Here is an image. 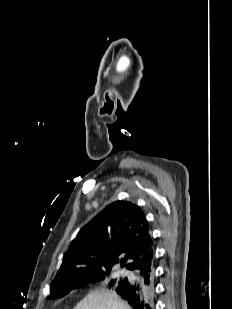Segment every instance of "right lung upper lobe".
I'll use <instances>...</instances> for the list:
<instances>
[{"instance_id":"obj_1","label":"right lung upper lobe","mask_w":232,"mask_h":309,"mask_svg":"<svg viewBox=\"0 0 232 309\" xmlns=\"http://www.w3.org/2000/svg\"><path fill=\"white\" fill-rule=\"evenodd\" d=\"M153 250L149 224L140 208L131 202L116 201L79 231L51 286L84 274L111 270L116 264L129 268L142 258L153 257Z\"/></svg>"}]
</instances>
